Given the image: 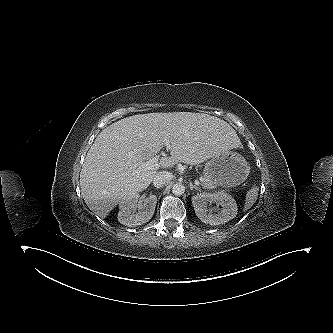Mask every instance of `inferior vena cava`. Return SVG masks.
<instances>
[{
  "label": "inferior vena cava",
  "mask_w": 333,
  "mask_h": 333,
  "mask_svg": "<svg viewBox=\"0 0 333 333\" xmlns=\"http://www.w3.org/2000/svg\"><path fill=\"white\" fill-rule=\"evenodd\" d=\"M173 175L172 173L168 171H161L156 173V175L153 178V184L155 187L160 188L163 185L167 184L172 180Z\"/></svg>",
  "instance_id": "inferior-vena-cava-1"
}]
</instances>
